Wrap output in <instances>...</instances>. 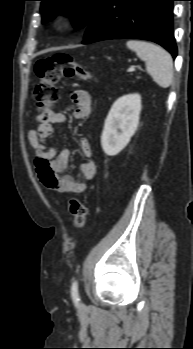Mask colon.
<instances>
[{
  "label": "colon",
  "instance_id": "5ec220e1",
  "mask_svg": "<svg viewBox=\"0 0 193 349\" xmlns=\"http://www.w3.org/2000/svg\"><path fill=\"white\" fill-rule=\"evenodd\" d=\"M35 72L40 81L35 88L34 97L37 107L42 113L53 112L59 99L57 84L62 78L92 79L89 71L67 54H57L51 58L38 61L35 65ZM69 209L73 217L74 227L77 229L83 228L87 218V208L84 203L77 198H71Z\"/></svg>",
  "mask_w": 193,
  "mask_h": 349
}]
</instances>
